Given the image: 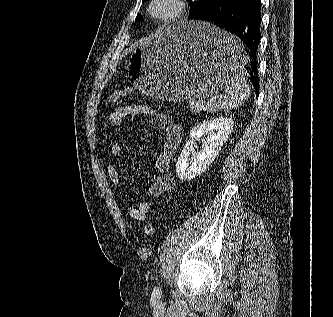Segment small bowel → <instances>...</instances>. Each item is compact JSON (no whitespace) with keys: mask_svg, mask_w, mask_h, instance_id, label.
Returning a JSON list of instances; mask_svg holds the SVG:
<instances>
[{"mask_svg":"<svg viewBox=\"0 0 333 317\" xmlns=\"http://www.w3.org/2000/svg\"><path fill=\"white\" fill-rule=\"evenodd\" d=\"M132 115L148 116L163 128L165 140L161 152L155 159L154 169L156 177L148 191L151 197H158L172 192L176 188V181L169 169L171 160L182 140L181 127L167 115L139 104H127L117 107L108 115L107 123L111 126H120L126 117ZM110 153L113 157L120 158L123 154V149L119 144L114 143L110 147ZM106 173L112 184L121 190L122 183L117 168L113 164H107ZM152 207L153 204L150 201H142L137 206L128 205V214L133 220L144 221Z\"/></svg>","mask_w":333,"mask_h":317,"instance_id":"1","label":"small bowel"}]
</instances>
